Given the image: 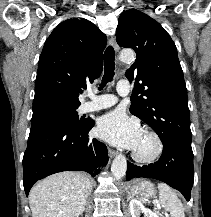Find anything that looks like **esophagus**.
<instances>
[{
    "mask_svg": "<svg viewBox=\"0 0 211 217\" xmlns=\"http://www.w3.org/2000/svg\"><path fill=\"white\" fill-rule=\"evenodd\" d=\"M109 42L113 46L115 51L118 52V45H117L115 37H113V36L110 37ZM108 154H109L110 157H114V156L117 155V152L115 150L111 149V148H108Z\"/></svg>",
    "mask_w": 211,
    "mask_h": 217,
    "instance_id": "esophagus-1",
    "label": "esophagus"
}]
</instances>
